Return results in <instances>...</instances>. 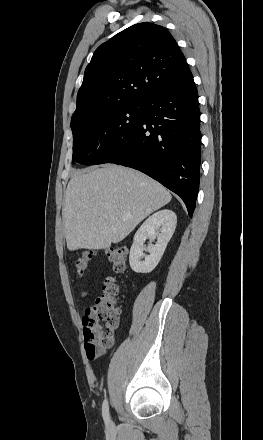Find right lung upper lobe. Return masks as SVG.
Listing matches in <instances>:
<instances>
[{
  "label": "right lung upper lobe",
  "mask_w": 263,
  "mask_h": 440,
  "mask_svg": "<svg viewBox=\"0 0 263 440\" xmlns=\"http://www.w3.org/2000/svg\"><path fill=\"white\" fill-rule=\"evenodd\" d=\"M188 72L183 53L164 27L135 24L94 52L77 94L71 129L101 110L144 102Z\"/></svg>",
  "instance_id": "cb5924a9"
}]
</instances>
